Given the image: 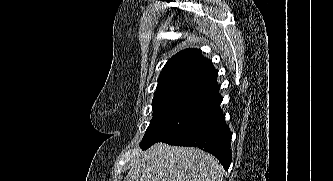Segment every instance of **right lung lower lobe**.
Masks as SVG:
<instances>
[{"label": "right lung lower lobe", "mask_w": 333, "mask_h": 181, "mask_svg": "<svg viewBox=\"0 0 333 181\" xmlns=\"http://www.w3.org/2000/svg\"><path fill=\"white\" fill-rule=\"evenodd\" d=\"M232 133L225 123L220 106L210 109L204 117L182 136L165 143L175 146H193L211 153L228 170L231 160Z\"/></svg>", "instance_id": "obj_1"}]
</instances>
